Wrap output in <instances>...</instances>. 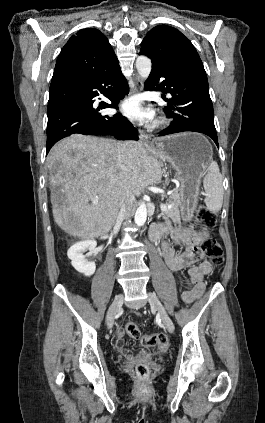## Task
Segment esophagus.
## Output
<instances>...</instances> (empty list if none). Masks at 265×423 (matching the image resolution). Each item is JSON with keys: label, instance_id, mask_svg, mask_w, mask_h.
Listing matches in <instances>:
<instances>
[{"label": "esophagus", "instance_id": "34e87169", "mask_svg": "<svg viewBox=\"0 0 265 423\" xmlns=\"http://www.w3.org/2000/svg\"><path fill=\"white\" fill-rule=\"evenodd\" d=\"M142 89H143V81L139 76H136L134 81V87L131 89L130 93L131 94L139 93L142 91ZM139 138H140V141L145 146L152 145L151 139L140 130H139Z\"/></svg>", "mask_w": 265, "mask_h": 423}]
</instances>
